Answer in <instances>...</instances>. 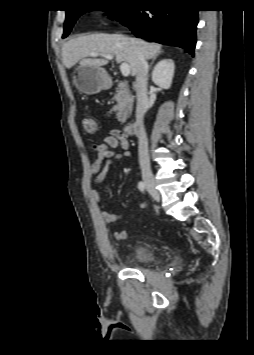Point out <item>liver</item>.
Masks as SVG:
<instances>
[{"instance_id": "6515ba94", "label": "liver", "mask_w": 254, "mask_h": 355, "mask_svg": "<svg viewBox=\"0 0 254 355\" xmlns=\"http://www.w3.org/2000/svg\"><path fill=\"white\" fill-rule=\"evenodd\" d=\"M161 45L148 43L141 39L125 37L120 34L96 33L81 36L66 42L62 47L63 64L67 69L76 63L101 67L108 64L107 59L89 58L91 52L115 56L117 63L126 62L131 75L137 73L140 58L151 59L158 55Z\"/></svg>"}]
</instances>
